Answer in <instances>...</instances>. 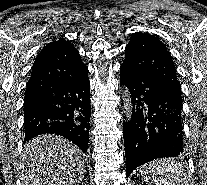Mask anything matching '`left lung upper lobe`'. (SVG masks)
<instances>
[{
    "label": "left lung upper lobe",
    "instance_id": "obj_1",
    "mask_svg": "<svg viewBox=\"0 0 207 185\" xmlns=\"http://www.w3.org/2000/svg\"><path fill=\"white\" fill-rule=\"evenodd\" d=\"M131 72L153 78L181 98L175 65L165 45L149 33H135L125 48L122 63Z\"/></svg>",
    "mask_w": 207,
    "mask_h": 185
}]
</instances>
